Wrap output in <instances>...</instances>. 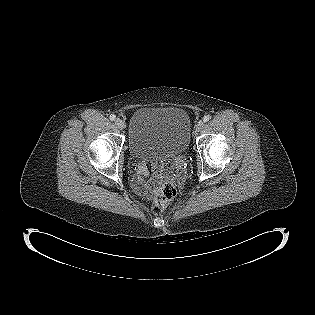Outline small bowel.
Wrapping results in <instances>:
<instances>
[{
  "label": "small bowel",
  "instance_id": "1",
  "mask_svg": "<svg viewBox=\"0 0 315 315\" xmlns=\"http://www.w3.org/2000/svg\"><path fill=\"white\" fill-rule=\"evenodd\" d=\"M153 173L152 178L149 181H146L148 176L146 166L143 164L137 166V175L133 181V186L139 195L146 196L155 193L166 176V170L159 162H154Z\"/></svg>",
  "mask_w": 315,
  "mask_h": 315
}]
</instances>
